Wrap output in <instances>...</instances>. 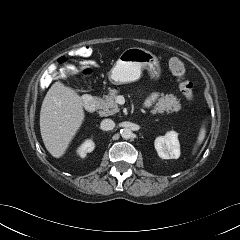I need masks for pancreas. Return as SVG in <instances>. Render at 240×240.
<instances>
[{
	"instance_id": "1",
	"label": "pancreas",
	"mask_w": 240,
	"mask_h": 240,
	"mask_svg": "<svg viewBox=\"0 0 240 240\" xmlns=\"http://www.w3.org/2000/svg\"><path fill=\"white\" fill-rule=\"evenodd\" d=\"M117 90H112L109 95L104 98L99 99V114L101 116H110L119 112L118 104L115 102V97L117 95ZM181 109V104L179 99L173 94H168L161 98L159 102L150 111L151 114L164 113L168 111H179Z\"/></svg>"
}]
</instances>
